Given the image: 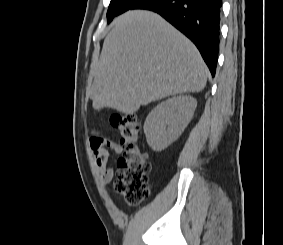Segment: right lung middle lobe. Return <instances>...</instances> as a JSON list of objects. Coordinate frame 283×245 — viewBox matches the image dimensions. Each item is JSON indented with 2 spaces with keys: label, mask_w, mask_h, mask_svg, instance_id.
<instances>
[{
  "label": "right lung middle lobe",
  "mask_w": 283,
  "mask_h": 245,
  "mask_svg": "<svg viewBox=\"0 0 283 245\" xmlns=\"http://www.w3.org/2000/svg\"><path fill=\"white\" fill-rule=\"evenodd\" d=\"M140 1L141 0H111L107 12L108 23H110L115 16L132 9Z\"/></svg>",
  "instance_id": "1"
}]
</instances>
